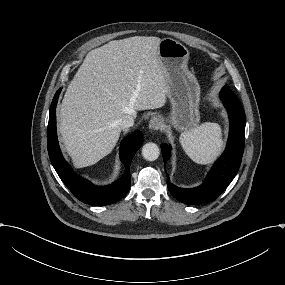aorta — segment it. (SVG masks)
Returning <instances> with one entry per match:
<instances>
[{
  "label": "aorta",
  "mask_w": 285,
  "mask_h": 285,
  "mask_svg": "<svg viewBox=\"0 0 285 285\" xmlns=\"http://www.w3.org/2000/svg\"><path fill=\"white\" fill-rule=\"evenodd\" d=\"M160 155L159 147L152 142L146 143L142 148V156L147 161H155Z\"/></svg>",
  "instance_id": "aorta-1"
}]
</instances>
